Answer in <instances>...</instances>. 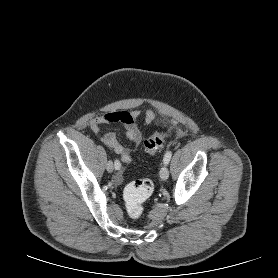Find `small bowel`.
<instances>
[{
  "instance_id": "obj_1",
  "label": "small bowel",
  "mask_w": 278,
  "mask_h": 278,
  "mask_svg": "<svg viewBox=\"0 0 278 278\" xmlns=\"http://www.w3.org/2000/svg\"><path fill=\"white\" fill-rule=\"evenodd\" d=\"M141 115L140 110L132 111H114L107 114L97 116L90 122V128L94 133H98L101 127L110 123H121L126 129V137L133 142V149H126L116 138L113 132H107L102 137V142L113 149V151L119 155L120 159L124 163H130L133 160V153L137 150L142 141V133L138 126V119ZM155 112L153 110H147L144 114V121L146 124H150L155 119ZM116 181H121V175L116 176Z\"/></svg>"
}]
</instances>
